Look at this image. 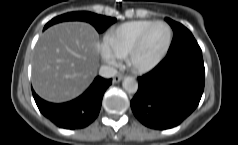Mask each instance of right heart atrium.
<instances>
[{"instance_id":"d8ad5b80","label":"right heart atrium","mask_w":238,"mask_h":145,"mask_svg":"<svg viewBox=\"0 0 238 145\" xmlns=\"http://www.w3.org/2000/svg\"><path fill=\"white\" fill-rule=\"evenodd\" d=\"M101 56L103 61L110 65V66H115L117 65V57L107 48H103L101 52Z\"/></svg>"}]
</instances>
